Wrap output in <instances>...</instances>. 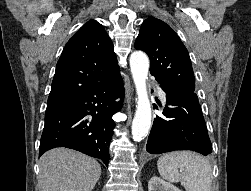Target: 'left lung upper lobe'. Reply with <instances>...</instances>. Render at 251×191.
<instances>
[{
  "mask_svg": "<svg viewBox=\"0 0 251 191\" xmlns=\"http://www.w3.org/2000/svg\"><path fill=\"white\" fill-rule=\"evenodd\" d=\"M135 48L150 58V73L169 91L195 92V77L188 51L165 22L147 18L141 25Z\"/></svg>",
  "mask_w": 251,
  "mask_h": 191,
  "instance_id": "1",
  "label": "left lung upper lobe"
}]
</instances>
